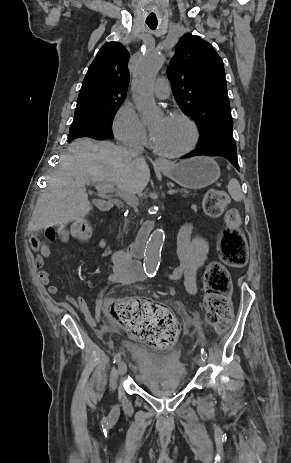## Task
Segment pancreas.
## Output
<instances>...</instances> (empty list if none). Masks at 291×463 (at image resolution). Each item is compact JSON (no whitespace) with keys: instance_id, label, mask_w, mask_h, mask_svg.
<instances>
[{"instance_id":"1","label":"pancreas","mask_w":291,"mask_h":463,"mask_svg":"<svg viewBox=\"0 0 291 463\" xmlns=\"http://www.w3.org/2000/svg\"><path fill=\"white\" fill-rule=\"evenodd\" d=\"M176 191L183 198H187V197H190V196L194 197L196 195L195 193H192V192H190V191H188V190H186L184 188H182V189L177 188Z\"/></svg>"}]
</instances>
